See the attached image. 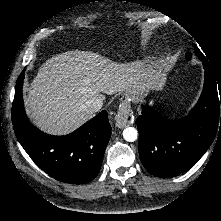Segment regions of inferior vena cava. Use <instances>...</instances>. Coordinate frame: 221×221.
I'll return each mask as SVG.
<instances>
[{
    "instance_id": "602c4592",
    "label": "inferior vena cava",
    "mask_w": 221,
    "mask_h": 221,
    "mask_svg": "<svg viewBox=\"0 0 221 221\" xmlns=\"http://www.w3.org/2000/svg\"><path fill=\"white\" fill-rule=\"evenodd\" d=\"M103 105V100L99 97H90L86 100L84 104L85 109H89L91 111H98Z\"/></svg>"
}]
</instances>
